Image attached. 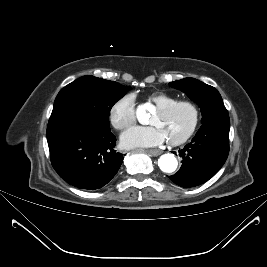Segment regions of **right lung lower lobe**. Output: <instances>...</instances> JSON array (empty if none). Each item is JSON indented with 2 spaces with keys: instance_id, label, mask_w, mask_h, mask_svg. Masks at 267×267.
<instances>
[{
  "instance_id": "obj_1",
  "label": "right lung lower lobe",
  "mask_w": 267,
  "mask_h": 267,
  "mask_svg": "<svg viewBox=\"0 0 267 267\" xmlns=\"http://www.w3.org/2000/svg\"><path fill=\"white\" fill-rule=\"evenodd\" d=\"M51 163L70 185L100 189L119 170L123 155L113 148L116 137L110 127L79 118H68L48 126Z\"/></svg>"
}]
</instances>
